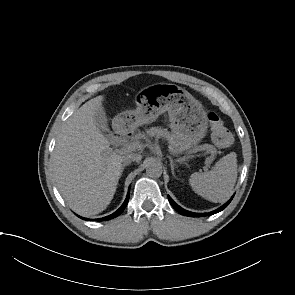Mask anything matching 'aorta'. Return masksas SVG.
Segmentation results:
<instances>
[{
	"label": "aorta",
	"mask_w": 295,
	"mask_h": 295,
	"mask_svg": "<svg viewBox=\"0 0 295 295\" xmlns=\"http://www.w3.org/2000/svg\"><path fill=\"white\" fill-rule=\"evenodd\" d=\"M146 173L150 177H160L162 174V165L160 162L151 160L148 162L146 167Z\"/></svg>",
	"instance_id": "obj_1"
}]
</instances>
